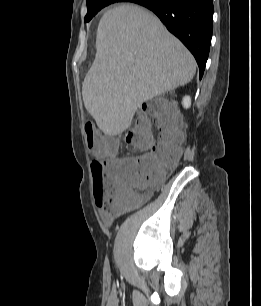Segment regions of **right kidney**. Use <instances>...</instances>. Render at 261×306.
<instances>
[{
	"label": "right kidney",
	"mask_w": 261,
	"mask_h": 306,
	"mask_svg": "<svg viewBox=\"0 0 261 306\" xmlns=\"http://www.w3.org/2000/svg\"><path fill=\"white\" fill-rule=\"evenodd\" d=\"M182 104H183L184 108H186V109L189 108L191 106V98H190V96H185L183 98Z\"/></svg>",
	"instance_id": "1"
}]
</instances>
